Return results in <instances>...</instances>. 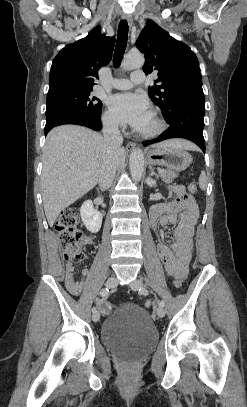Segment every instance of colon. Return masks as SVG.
Listing matches in <instances>:
<instances>
[{"instance_id":"5ec220e1","label":"colon","mask_w":247,"mask_h":407,"mask_svg":"<svg viewBox=\"0 0 247 407\" xmlns=\"http://www.w3.org/2000/svg\"><path fill=\"white\" fill-rule=\"evenodd\" d=\"M197 190L196 182H191L188 185L190 194H196ZM55 230L59 236L65 259L76 263L83 261L84 234L78 229V216L74 206H70L61 212L55 223ZM182 283L183 280L175 279L173 285L180 288ZM154 303V300L149 299L145 305L146 307H152Z\"/></svg>"}]
</instances>
